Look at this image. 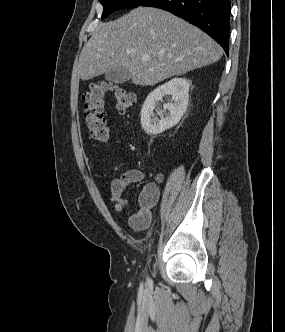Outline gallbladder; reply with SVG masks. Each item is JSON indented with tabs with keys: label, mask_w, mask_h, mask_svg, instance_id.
Segmentation results:
<instances>
[{
	"label": "gallbladder",
	"mask_w": 285,
	"mask_h": 332,
	"mask_svg": "<svg viewBox=\"0 0 285 332\" xmlns=\"http://www.w3.org/2000/svg\"><path fill=\"white\" fill-rule=\"evenodd\" d=\"M131 78L130 72L123 67L112 68L105 74V79L109 82L122 84L129 81Z\"/></svg>",
	"instance_id": "bac80fb5"
}]
</instances>
